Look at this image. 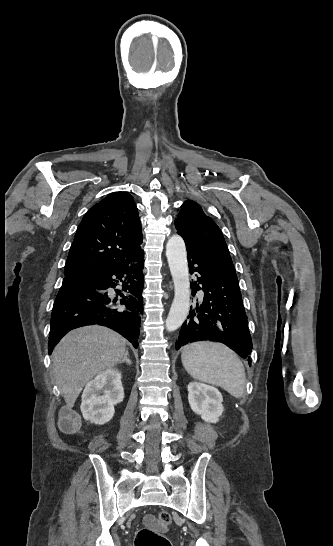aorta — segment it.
<instances>
[{
    "mask_svg": "<svg viewBox=\"0 0 333 546\" xmlns=\"http://www.w3.org/2000/svg\"><path fill=\"white\" fill-rule=\"evenodd\" d=\"M166 256L174 283V300L166 319L169 332L177 330L185 321L190 307V282L184 240L172 236L166 245Z\"/></svg>",
    "mask_w": 333,
    "mask_h": 546,
    "instance_id": "762f6f07",
    "label": "aorta"
}]
</instances>
